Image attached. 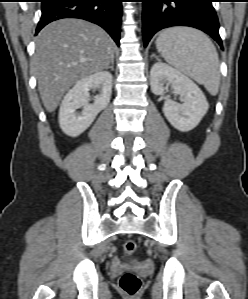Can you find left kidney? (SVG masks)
Masks as SVG:
<instances>
[{
    "instance_id": "left-kidney-1",
    "label": "left kidney",
    "mask_w": 248,
    "mask_h": 299,
    "mask_svg": "<svg viewBox=\"0 0 248 299\" xmlns=\"http://www.w3.org/2000/svg\"><path fill=\"white\" fill-rule=\"evenodd\" d=\"M171 86L173 93L184 97L179 104L166 99L163 113L170 124L181 132L194 129L206 114L209 105L201 89L187 76L165 63H155L150 71L151 90L156 95H164Z\"/></svg>"
}]
</instances>
